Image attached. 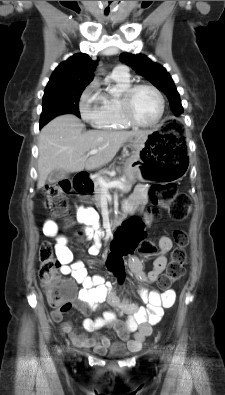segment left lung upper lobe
<instances>
[{"instance_id": "1", "label": "left lung upper lobe", "mask_w": 225, "mask_h": 395, "mask_svg": "<svg viewBox=\"0 0 225 395\" xmlns=\"http://www.w3.org/2000/svg\"><path fill=\"white\" fill-rule=\"evenodd\" d=\"M120 60L132 67L138 74L147 78L156 88L166 94L170 107L176 116L183 113L179 93L171 76L163 66L152 62L145 55L141 54L133 55L125 52L120 55Z\"/></svg>"}]
</instances>
